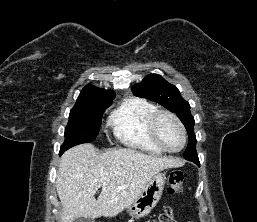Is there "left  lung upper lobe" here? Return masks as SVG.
I'll use <instances>...</instances> for the list:
<instances>
[{
  "mask_svg": "<svg viewBox=\"0 0 257 222\" xmlns=\"http://www.w3.org/2000/svg\"><path fill=\"white\" fill-rule=\"evenodd\" d=\"M134 95L153 100L167 108L179 117L187 129L189 141L184 152L186 160L199 161L196 152V136L194 134V118L190 112V105L185 101L176 86L168 83L157 74L146 76L141 83L131 88Z\"/></svg>",
  "mask_w": 257,
  "mask_h": 222,
  "instance_id": "obj_1",
  "label": "left lung upper lobe"
}]
</instances>
